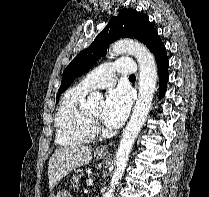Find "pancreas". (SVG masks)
I'll return each instance as SVG.
<instances>
[{
  "mask_svg": "<svg viewBox=\"0 0 209 197\" xmlns=\"http://www.w3.org/2000/svg\"><path fill=\"white\" fill-rule=\"evenodd\" d=\"M82 175L83 174L73 176V178L71 180V187L72 188H78V186L80 185V179H81Z\"/></svg>",
  "mask_w": 209,
  "mask_h": 197,
  "instance_id": "1",
  "label": "pancreas"
}]
</instances>
